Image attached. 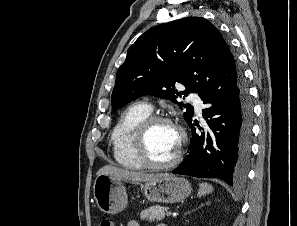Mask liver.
<instances>
[{
  "label": "liver",
  "mask_w": 297,
  "mask_h": 226,
  "mask_svg": "<svg viewBox=\"0 0 297 226\" xmlns=\"http://www.w3.org/2000/svg\"><path fill=\"white\" fill-rule=\"evenodd\" d=\"M110 175L117 180H127L132 182H148L157 180L167 174H146L141 172L128 171L111 165L99 169L97 176Z\"/></svg>",
  "instance_id": "obj_1"
}]
</instances>
